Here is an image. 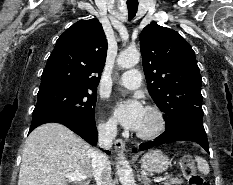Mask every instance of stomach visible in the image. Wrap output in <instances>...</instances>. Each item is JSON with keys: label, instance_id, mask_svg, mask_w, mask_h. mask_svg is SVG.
Masks as SVG:
<instances>
[{"label": "stomach", "instance_id": "0dacf381", "mask_svg": "<svg viewBox=\"0 0 233 185\" xmlns=\"http://www.w3.org/2000/svg\"><path fill=\"white\" fill-rule=\"evenodd\" d=\"M142 169L148 172H164L170 165L169 158L160 150L147 152L140 160Z\"/></svg>", "mask_w": 233, "mask_h": 185}]
</instances>
